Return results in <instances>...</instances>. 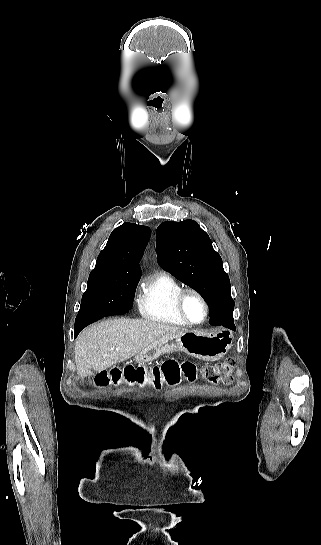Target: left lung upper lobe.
<instances>
[{
	"instance_id": "obj_1",
	"label": "left lung upper lobe",
	"mask_w": 321,
	"mask_h": 545,
	"mask_svg": "<svg viewBox=\"0 0 321 545\" xmlns=\"http://www.w3.org/2000/svg\"><path fill=\"white\" fill-rule=\"evenodd\" d=\"M160 265L174 277L196 290L210 310L233 316L231 285L220 255L197 222L167 221L156 231Z\"/></svg>"
}]
</instances>
